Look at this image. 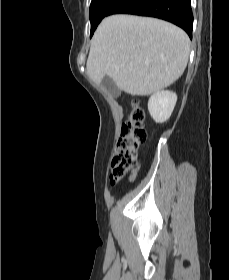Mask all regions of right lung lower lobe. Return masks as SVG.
I'll use <instances>...</instances> for the list:
<instances>
[{"mask_svg": "<svg viewBox=\"0 0 229 280\" xmlns=\"http://www.w3.org/2000/svg\"><path fill=\"white\" fill-rule=\"evenodd\" d=\"M116 13L160 18L181 27L192 38L191 0H115L106 16Z\"/></svg>", "mask_w": 229, "mask_h": 280, "instance_id": "1", "label": "right lung lower lobe"}]
</instances>
